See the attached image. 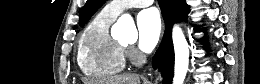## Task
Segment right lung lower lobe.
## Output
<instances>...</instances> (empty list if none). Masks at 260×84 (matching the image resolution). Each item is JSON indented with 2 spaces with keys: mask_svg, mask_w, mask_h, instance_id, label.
<instances>
[{
  "mask_svg": "<svg viewBox=\"0 0 260 84\" xmlns=\"http://www.w3.org/2000/svg\"><path fill=\"white\" fill-rule=\"evenodd\" d=\"M166 23V32L161 46L153 58V67H159L163 84H171L174 69V50L171 39V28L174 22L181 20L189 12L184 0H158Z\"/></svg>",
  "mask_w": 260,
  "mask_h": 84,
  "instance_id": "1",
  "label": "right lung lower lobe"
}]
</instances>
